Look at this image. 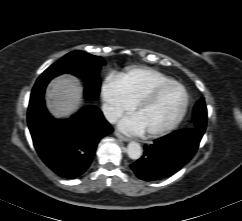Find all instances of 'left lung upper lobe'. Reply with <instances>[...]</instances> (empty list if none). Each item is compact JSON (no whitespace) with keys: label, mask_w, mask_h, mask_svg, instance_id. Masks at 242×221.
Wrapping results in <instances>:
<instances>
[{"label":"left lung upper lobe","mask_w":242,"mask_h":221,"mask_svg":"<svg viewBox=\"0 0 242 221\" xmlns=\"http://www.w3.org/2000/svg\"><path fill=\"white\" fill-rule=\"evenodd\" d=\"M207 122V109L204 98H201L194 106L193 109V125L192 128L204 130Z\"/></svg>","instance_id":"obj_1"}]
</instances>
